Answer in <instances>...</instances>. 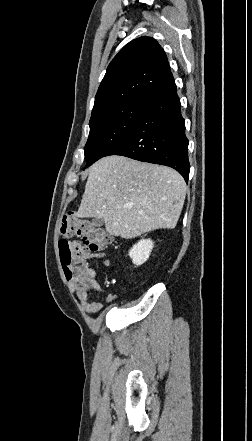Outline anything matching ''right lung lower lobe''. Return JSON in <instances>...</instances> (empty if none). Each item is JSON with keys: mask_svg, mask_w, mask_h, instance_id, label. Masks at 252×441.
I'll return each mask as SVG.
<instances>
[{"mask_svg": "<svg viewBox=\"0 0 252 441\" xmlns=\"http://www.w3.org/2000/svg\"><path fill=\"white\" fill-rule=\"evenodd\" d=\"M145 107L135 126L106 156L121 155L166 165L188 181V139L177 88L172 79L144 98Z\"/></svg>", "mask_w": 252, "mask_h": 441, "instance_id": "98d812e1", "label": "right lung lower lobe"}]
</instances>
